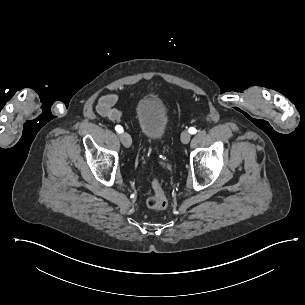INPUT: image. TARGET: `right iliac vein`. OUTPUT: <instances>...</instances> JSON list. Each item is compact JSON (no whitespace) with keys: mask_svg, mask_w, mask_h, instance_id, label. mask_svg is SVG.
<instances>
[{"mask_svg":"<svg viewBox=\"0 0 305 305\" xmlns=\"http://www.w3.org/2000/svg\"><path fill=\"white\" fill-rule=\"evenodd\" d=\"M120 139H121V141H122V143L125 147H130L131 146L132 139H131V137L128 133H125V132L121 133L120 134Z\"/></svg>","mask_w":305,"mask_h":305,"instance_id":"1","label":"right iliac vein"}]
</instances>
